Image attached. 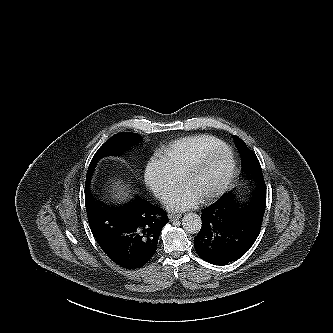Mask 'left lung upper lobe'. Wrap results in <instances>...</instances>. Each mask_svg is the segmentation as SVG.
Masks as SVG:
<instances>
[{
    "mask_svg": "<svg viewBox=\"0 0 333 333\" xmlns=\"http://www.w3.org/2000/svg\"><path fill=\"white\" fill-rule=\"evenodd\" d=\"M236 147L241 156L242 168L247 177L253 178L256 181L263 179L261 165L255 155L246 144L237 136L233 137Z\"/></svg>",
    "mask_w": 333,
    "mask_h": 333,
    "instance_id": "obj_1",
    "label": "left lung upper lobe"
}]
</instances>
